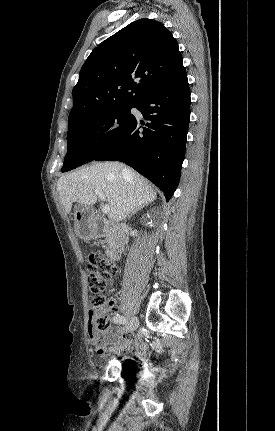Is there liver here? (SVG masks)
I'll return each instance as SVG.
<instances>
[{"label":"liver","instance_id":"1","mask_svg":"<svg viewBox=\"0 0 275 431\" xmlns=\"http://www.w3.org/2000/svg\"><path fill=\"white\" fill-rule=\"evenodd\" d=\"M95 190L104 193L110 206L109 219L118 222L133 210L156 199V191L146 178L119 162H101L59 178L57 191L65 213L72 204L92 206Z\"/></svg>","mask_w":275,"mask_h":431}]
</instances>
